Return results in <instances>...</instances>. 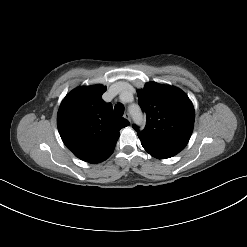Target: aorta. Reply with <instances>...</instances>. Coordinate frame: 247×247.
<instances>
[{"label": "aorta", "instance_id": "762f6f07", "mask_svg": "<svg viewBox=\"0 0 247 247\" xmlns=\"http://www.w3.org/2000/svg\"><path fill=\"white\" fill-rule=\"evenodd\" d=\"M133 119L138 124L142 123V121H143L142 115H141L138 107H137L136 113L133 115Z\"/></svg>", "mask_w": 247, "mask_h": 247}]
</instances>
